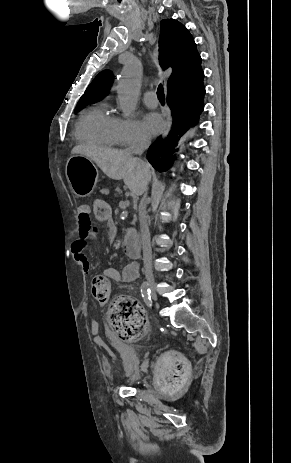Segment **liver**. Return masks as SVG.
Here are the masks:
<instances>
[{
  "label": "liver",
  "mask_w": 291,
  "mask_h": 463,
  "mask_svg": "<svg viewBox=\"0 0 291 463\" xmlns=\"http://www.w3.org/2000/svg\"><path fill=\"white\" fill-rule=\"evenodd\" d=\"M72 154L83 155L94 161L97 166L111 179H123L125 185L135 195L144 193L151 172L148 164H142L127 150H117L90 145H77Z\"/></svg>",
  "instance_id": "liver-1"
}]
</instances>
